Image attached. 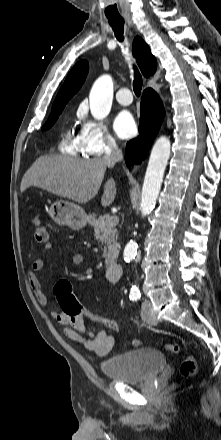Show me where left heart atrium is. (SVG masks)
I'll use <instances>...</instances> for the list:
<instances>
[{
	"label": "left heart atrium",
	"instance_id": "39dd6f15",
	"mask_svg": "<svg viewBox=\"0 0 221 440\" xmlns=\"http://www.w3.org/2000/svg\"><path fill=\"white\" fill-rule=\"evenodd\" d=\"M114 130L121 138H129L136 132V123L128 111L120 112L114 120Z\"/></svg>",
	"mask_w": 221,
	"mask_h": 440
}]
</instances>
